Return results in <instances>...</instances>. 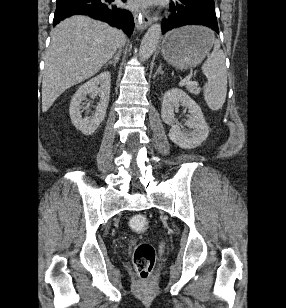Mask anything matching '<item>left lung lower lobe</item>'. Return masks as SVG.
I'll list each match as a JSON object with an SVG mask.
<instances>
[{
  "label": "left lung lower lobe",
  "mask_w": 286,
  "mask_h": 308,
  "mask_svg": "<svg viewBox=\"0 0 286 308\" xmlns=\"http://www.w3.org/2000/svg\"><path fill=\"white\" fill-rule=\"evenodd\" d=\"M170 1V11L173 13L168 19H163V33L185 25H204L219 33L214 0Z\"/></svg>",
  "instance_id": "1"
}]
</instances>
